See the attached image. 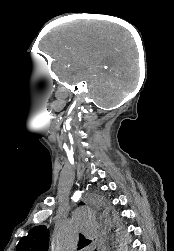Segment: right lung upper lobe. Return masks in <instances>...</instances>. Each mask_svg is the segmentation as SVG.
<instances>
[{"label":"right lung upper lobe","mask_w":174,"mask_h":251,"mask_svg":"<svg viewBox=\"0 0 174 251\" xmlns=\"http://www.w3.org/2000/svg\"><path fill=\"white\" fill-rule=\"evenodd\" d=\"M49 233L44 225L32 228L28 235L22 238L18 245L17 251H47L48 250ZM90 240L80 235L79 249L87 246Z\"/></svg>","instance_id":"obj_1"}]
</instances>
